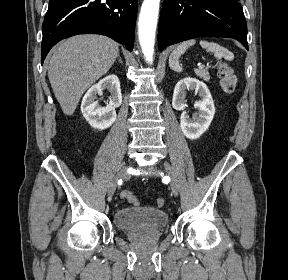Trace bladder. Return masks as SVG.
Segmentation results:
<instances>
[{
	"instance_id": "obj_1",
	"label": "bladder",
	"mask_w": 288,
	"mask_h": 280,
	"mask_svg": "<svg viewBox=\"0 0 288 280\" xmlns=\"http://www.w3.org/2000/svg\"><path fill=\"white\" fill-rule=\"evenodd\" d=\"M169 217L161 209L153 207H127L113 214L114 225L125 231L158 232L168 225Z\"/></svg>"
}]
</instances>
